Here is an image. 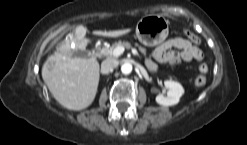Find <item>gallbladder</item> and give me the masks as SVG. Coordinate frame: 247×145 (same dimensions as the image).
Wrapping results in <instances>:
<instances>
[{
  "mask_svg": "<svg viewBox=\"0 0 247 145\" xmlns=\"http://www.w3.org/2000/svg\"><path fill=\"white\" fill-rule=\"evenodd\" d=\"M61 44H58L57 49L60 47ZM89 52L85 50H74L72 51V57H81L86 58L89 56Z\"/></svg>",
  "mask_w": 247,
  "mask_h": 145,
  "instance_id": "1",
  "label": "gallbladder"
}]
</instances>
